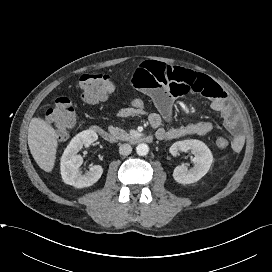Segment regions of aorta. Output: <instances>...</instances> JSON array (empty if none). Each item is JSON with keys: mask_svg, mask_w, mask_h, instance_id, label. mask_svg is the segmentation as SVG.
<instances>
[{"mask_svg": "<svg viewBox=\"0 0 272 272\" xmlns=\"http://www.w3.org/2000/svg\"><path fill=\"white\" fill-rule=\"evenodd\" d=\"M149 152V147L147 144L145 143H141V144H138L137 147H136V153L139 155V156H145L147 155Z\"/></svg>", "mask_w": 272, "mask_h": 272, "instance_id": "762f6f07", "label": "aorta"}]
</instances>
